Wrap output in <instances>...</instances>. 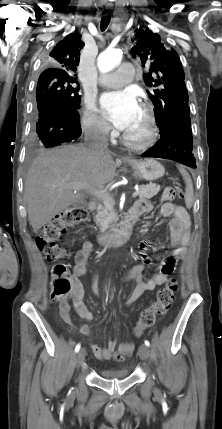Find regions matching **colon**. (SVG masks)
<instances>
[{
  "label": "colon",
  "mask_w": 222,
  "mask_h": 429,
  "mask_svg": "<svg viewBox=\"0 0 222 429\" xmlns=\"http://www.w3.org/2000/svg\"><path fill=\"white\" fill-rule=\"evenodd\" d=\"M176 196L184 197L179 183L165 188L162 193V199L167 202L172 201ZM86 218L87 211L83 207L65 209L43 228L36 239L38 248L49 260H62L66 257V252L59 245V239L67 228L78 226ZM177 289L178 284L175 279L172 278L166 282L165 286L158 291L156 299L141 312L139 320L133 329L134 336H141L147 328L155 323L159 316H162L171 308ZM74 291H76V285L73 276L63 264L55 265L51 272V300L63 305Z\"/></svg>",
  "instance_id": "colon-1"
}]
</instances>
